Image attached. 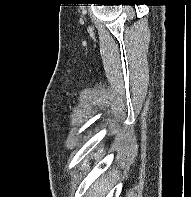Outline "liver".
Returning <instances> with one entry per match:
<instances>
[{"instance_id":"liver-1","label":"liver","mask_w":191,"mask_h":197,"mask_svg":"<svg viewBox=\"0 0 191 197\" xmlns=\"http://www.w3.org/2000/svg\"><path fill=\"white\" fill-rule=\"evenodd\" d=\"M113 180L114 175L110 174L95 182L89 191L88 197H105L107 188L111 185Z\"/></svg>"}]
</instances>
